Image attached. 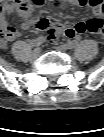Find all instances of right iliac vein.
I'll list each match as a JSON object with an SVG mask.
<instances>
[{
    "mask_svg": "<svg viewBox=\"0 0 104 137\" xmlns=\"http://www.w3.org/2000/svg\"><path fill=\"white\" fill-rule=\"evenodd\" d=\"M41 53V49L39 47L35 48L32 52V57L37 58Z\"/></svg>",
    "mask_w": 104,
    "mask_h": 137,
    "instance_id": "1",
    "label": "right iliac vein"
}]
</instances>
